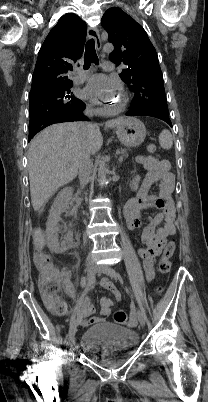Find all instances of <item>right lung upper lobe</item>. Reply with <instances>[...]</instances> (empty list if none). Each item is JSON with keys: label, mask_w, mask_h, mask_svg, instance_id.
Instances as JSON below:
<instances>
[{"label": "right lung upper lobe", "mask_w": 208, "mask_h": 402, "mask_svg": "<svg viewBox=\"0 0 208 402\" xmlns=\"http://www.w3.org/2000/svg\"><path fill=\"white\" fill-rule=\"evenodd\" d=\"M86 23L75 14H65L51 29L38 53L31 92L40 84L68 80L67 72L82 56Z\"/></svg>", "instance_id": "obj_1"}]
</instances>
